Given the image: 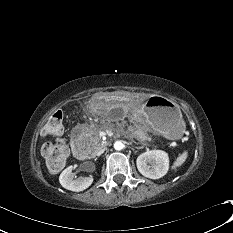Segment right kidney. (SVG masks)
I'll return each mask as SVG.
<instances>
[{
    "instance_id": "right-kidney-1",
    "label": "right kidney",
    "mask_w": 233,
    "mask_h": 233,
    "mask_svg": "<svg viewBox=\"0 0 233 233\" xmlns=\"http://www.w3.org/2000/svg\"><path fill=\"white\" fill-rule=\"evenodd\" d=\"M73 166L67 167L59 176L60 184L71 191L80 192L88 188L92 182L93 177H79L74 179V175L72 173Z\"/></svg>"
}]
</instances>
